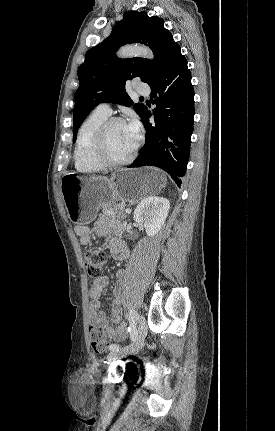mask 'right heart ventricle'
Masks as SVG:
<instances>
[{
    "label": "right heart ventricle",
    "mask_w": 275,
    "mask_h": 431,
    "mask_svg": "<svg viewBox=\"0 0 275 431\" xmlns=\"http://www.w3.org/2000/svg\"><path fill=\"white\" fill-rule=\"evenodd\" d=\"M108 119L97 110L90 113L82 122L74 148V163L78 171L83 173L99 172L104 167L98 163L92 153V144L98 128Z\"/></svg>",
    "instance_id": "1"
}]
</instances>
